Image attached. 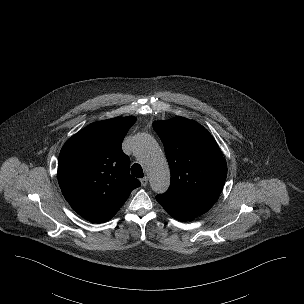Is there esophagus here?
Listing matches in <instances>:
<instances>
[{"label":"esophagus","instance_id":"esophagus-1","mask_svg":"<svg viewBox=\"0 0 304 304\" xmlns=\"http://www.w3.org/2000/svg\"><path fill=\"white\" fill-rule=\"evenodd\" d=\"M140 182H141V185L145 187L148 184V177L147 176L143 177L140 180Z\"/></svg>","mask_w":304,"mask_h":304}]
</instances>
